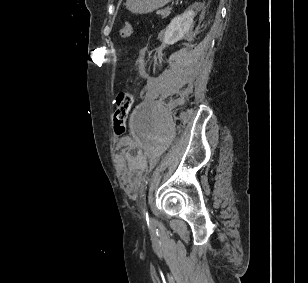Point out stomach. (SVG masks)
Listing matches in <instances>:
<instances>
[{
  "instance_id": "0dacf381",
  "label": "stomach",
  "mask_w": 308,
  "mask_h": 283,
  "mask_svg": "<svg viewBox=\"0 0 308 283\" xmlns=\"http://www.w3.org/2000/svg\"><path fill=\"white\" fill-rule=\"evenodd\" d=\"M172 0H127L125 5L128 10L136 14L153 12L168 4Z\"/></svg>"
}]
</instances>
